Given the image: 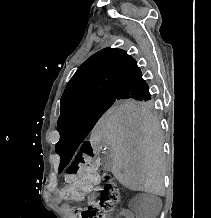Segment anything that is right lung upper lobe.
I'll return each instance as SVG.
<instances>
[{"mask_svg":"<svg viewBox=\"0 0 211 218\" xmlns=\"http://www.w3.org/2000/svg\"><path fill=\"white\" fill-rule=\"evenodd\" d=\"M140 71L124 50L105 48L87 59L68 82L61 98V113L86 100L117 96Z\"/></svg>","mask_w":211,"mask_h":218,"instance_id":"cb5924a9","label":"right lung upper lobe"}]
</instances>
